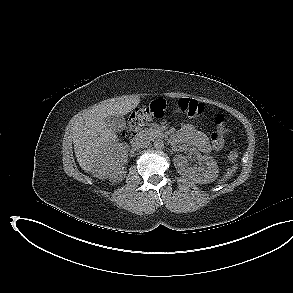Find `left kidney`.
<instances>
[{"mask_svg": "<svg viewBox=\"0 0 293 293\" xmlns=\"http://www.w3.org/2000/svg\"><path fill=\"white\" fill-rule=\"evenodd\" d=\"M201 167L195 169L188 167V161L185 156L177 155L174 157V165L180 175L199 184H207L217 179L219 169L217 162L211 157L204 155L199 159Z\"/></svg>", "mask_w": 293, "mask_h": 293, "instance_id": "1", "label": "left kidney"}]
</instances>
